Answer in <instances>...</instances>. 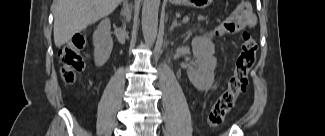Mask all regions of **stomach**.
Here are the masks:
<instances>
[{
  "label": "stomach",
  "mask_w": 325,
  "mask_h": 136,
  "mask_svg": "<svg viewBox=\"0 0 325 136\" xmlns=\"http://www.w3.org/2000/svg\"><path fill=\"white\" fill-rule=\"evenodd\" d=\"M173 4L187 5L195 8H206L212 0H171Z\"/></svg>",
  "instance_id": "stomach-1"
}]
</instances>
